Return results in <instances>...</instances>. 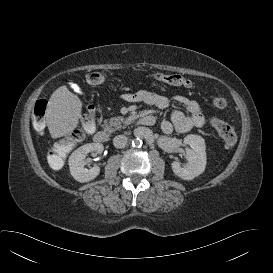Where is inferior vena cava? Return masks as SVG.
<instances>
[{"label":"inferior vena cava","mask_w":273,"mask_h":273,"mask_svg":"<svg viewBox=\"0 0 273 273\" xmlns=\"http://www.w3.org/2000/svg\"><path fill=\"white\" fill-rule=\"evenodd\" d=\"M127 137L125 135H117L113 139V145L116 148H124L127 144Z\"/></svg>","instance_id":"inferior-vena-cava-1"}]
</instances>
